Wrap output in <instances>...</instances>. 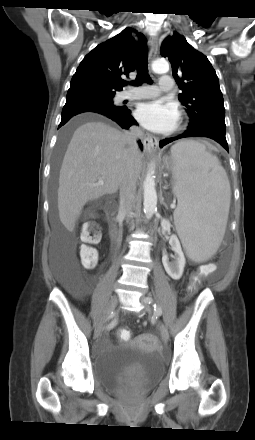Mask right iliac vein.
I'll return each instance as SVG.
<instances>
[{"label": "right iliac vein", "instance_id": "63e3f726", "mask_svg": "<svg viewBox=\"0 0 255 440\" xmlns=\"http://www.w3.org/2000/svg\"><path fill=\"white\" fill-rule=\"evenodd\" d=\"M117 303H118V297H117V296H112L111 299L109 300V302H108L106 308H105V311H104V315H103V317H102L101 320L97 323V326H96V328H95V332H94L95 337H98V336L101 334V332H102V330H103V326H104V322H105V320H106L108 317H110V315L112 314V312L115 310V308H116V306H117Z\"/></svg>", "mask_w": 255, "mask_h": 440}]
</instances>
